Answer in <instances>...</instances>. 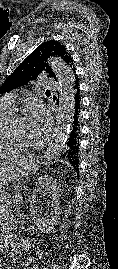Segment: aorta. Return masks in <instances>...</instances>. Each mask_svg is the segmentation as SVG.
I'll list each match as a JSON object with an SVG mask.
<instances>
[{
	"label": "aorta",
	"mask_w": 118,
	"mask_h": 269,
	"mask_svg": "<svg viewBox=\"0 0 118 269\" xmlns=\"http://www.w3.org/2000/svg\"><path fill=\"white\" fill-rule=\"evenodd\" d=\"M57 79L60 90L59 112L50 143L47 146L45 163H53L62 153L69 136L74 103V76L71 68L59 57L48 61Z\"/></svg>",
	"instance_id": "aorta-1"
}]
</instances>
